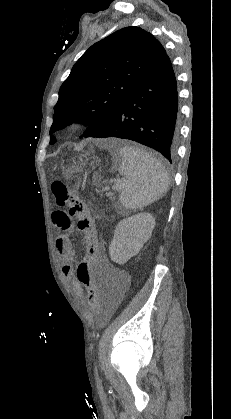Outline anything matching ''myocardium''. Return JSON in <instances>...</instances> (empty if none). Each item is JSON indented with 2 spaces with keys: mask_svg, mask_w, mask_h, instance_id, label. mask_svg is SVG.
I'll return each instance as SVG.
<instances>
[{
  "mask_svg": "<svg viewBox=\"0 0 231 419\" xmlns=\"http://www.w3.org/2000/svg\"><path fill=\"white\" fill-rule=\"evenodd\" d=\"M84 124L81 121H73L68 125V130L71 132L80 131L83 128Z\"/></svg>",
  "mask_w": 231,
  "mask_h": 419,
  "instance_id": "obj_1",
  "label": "myocardium"
}]
</instances>
